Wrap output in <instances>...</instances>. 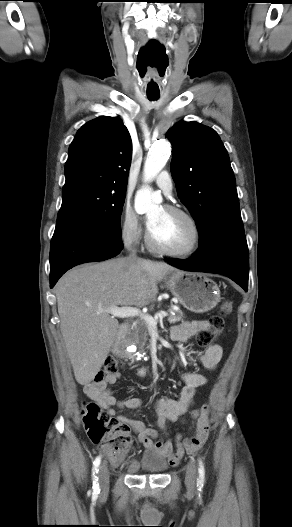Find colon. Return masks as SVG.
<instances>
[{
  "label": "colon",
  "mask_w": 292,
  "mask_h": 527,
  "mask_svg": "<svg viewBox=\"0 0 292 527\" xmlns=\"http://www.w3.org/2000/svg\"><path fill=\"white\" fill-rule=\"evenodd\" d=\"M232 310L231 302L221 306L220 313L211 319V328L198 332L196 341L207 346L213 343L219 335L226 331L224 316ZM122 363L116 356H109L95 377L96 382L103 381L107 376L117 373ZM84 429L90 441L102 448L114 458L120 459L126 455L132 445L130 427L127 423L110 416L97 402H89L82 410Z\"/></svg>",
  "instance_id": "5ec220e1"
}]
</instances>
